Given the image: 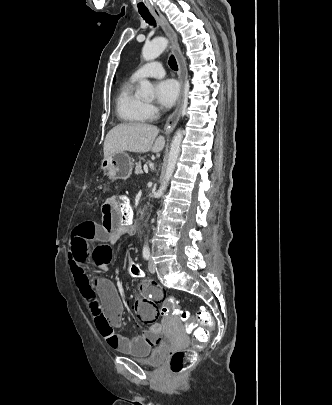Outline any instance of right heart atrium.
<instances>
[{
  "mask_svg": "<svg viewBox=\"0 0 332 405\" xmlns=\"http://www.w3.org/2000/svg\"><path fill=\"white\" fill-rule=\"evenodd\" d=\"M146 110L149 117H153L157 113V108L151 104L146 105Z\"/></svg>",
  "mask_w": 332,
  "mask_h": 405,
  "instance_id": "obj_1",
  "label": "right heart atrium"
}]
</instances>
